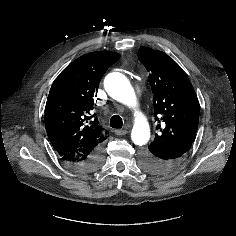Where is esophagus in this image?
I'll list each match as a JSON object with an SVG mask.
<instances>
[{"instance_id":"34e87169","label":"esophagus","mask_w":236,"mask_h":236,"mask_svg":"<svg viewBox=\"0 0 236 236\" xmlns=\"http://www.w3.org/2000/svg\"><path fill=\"white\" fill-rule=\"evenodd\" d=\"M114 133H115L116 135L122 136V135L127 134L128 131H127V130H122V129H117V130H114Z\"/></svg>"}]
</instances>
